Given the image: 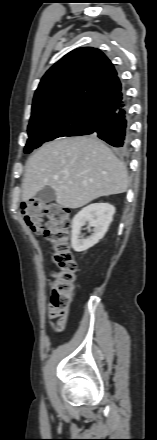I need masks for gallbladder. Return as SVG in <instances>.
Wrapping results in <instances>:
<instances>
[{"instance_id":"obj_1","label":"gallbladder","mask_w":157,"mask_h":440,"mask_svg":"<svg viewBox=\"0 0 157 440\" xmlns=\"http://www.w3.org/2000/svg\"><path fill=\"white\" fill-rule=\"evenodd\" d=\"M37 198L43 203H49L56 199V192L51 187H45L37 193Z\"/></svg>"}]
</instances>
